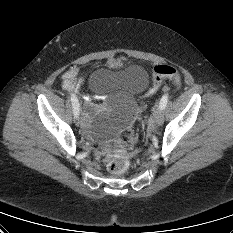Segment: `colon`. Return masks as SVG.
<instances>
[{
	"label": "colon",
	"instance_id": "1",
	"mask_svg": "<svg viewBox=\"0 0 233 233\" xmlns=\"http://www.w3.org/2000/svg\"><path fill=\"white\" fill-rule=\"evenodd\" d=\"M171 79L176 87L180 86L181 78L179 72L169 65H158L154 69L152 84L148 89L146 96H152L160 87L163 79ZM73 76L68 74L65 77V84L67 87L73 86ZM118 151L113 154L107 163V169L110 173L120 175L125 173L129 168V160L126 156V151L129 149L127 142L123 139L117 141Z\"/></svg>",
	"mask_w": 233,
	"mask_h": 233
}]
</instances>
